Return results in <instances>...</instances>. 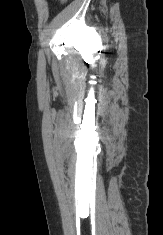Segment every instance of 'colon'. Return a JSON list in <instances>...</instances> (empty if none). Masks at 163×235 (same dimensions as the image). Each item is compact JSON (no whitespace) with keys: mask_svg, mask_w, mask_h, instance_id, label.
<instances>
[{"mask_svg":"<svg viewBox=\"0 0 163 235\" xmlns=\"http://www.w3.org/2000/svg\"><path fill=\"white\" fill-rule=\"evenodd\" d=\"M66 1H67V0H59V2H60L61 4L66 3Z\"/></svg>","mask_w":163,"mask_h":235,"instance_id":"colon-1","label":"colon"}]
</instances>
